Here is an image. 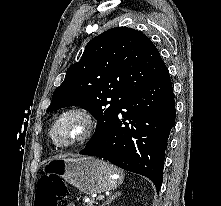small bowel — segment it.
<instances>
[{
  "mask_svg": "<svg viewBox=\"0 0 221 206\" xmlns=\"http://www.w3.org/2000/svg\"><path fill=\"white\" fill-rule=\"evenodd\" d=\"M68 206H75L73 203H68Z\"/></svg>",
  "mask_w": 221,
  "mask_h": 206,
  "instance_id": "small-bowel-1",
  "label": "small bowel"
}]
</instances>
